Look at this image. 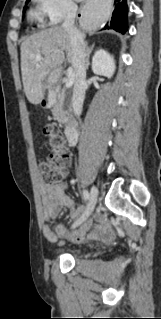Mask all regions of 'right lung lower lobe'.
Segmentation results:
<instances>
[{
	"label": "right lung lower lobe",
	"mask_w": 161,
	"mask_h": 319,
	"mask_svg": "<svg viewBox=\"0 0 161 319\" xmlns=\"http://www.w3.org/2000/svg\"><path fill=\"white\" fill-rule=\"evenodd\" d=\"M128 7L126 0H114V11L111 20L106 24L105 29H114L125 33L127 30Z\"/></svg>",
	"instance_id": "right-lung-lower-lobe-1"
}]
</instances>
